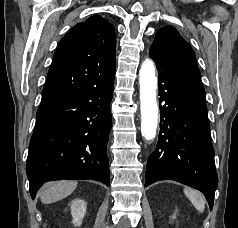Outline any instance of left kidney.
<instances>
[{"instance_id":"1","label":"left kidney","mask_w":238,"mask_h":228,"mask_svg":"<svg viewBox=\"0 0 238 228\" xmlns=\"http://www.w3.org/2000/svg\"><path fill=\"white\" fill-rule=\"evenodd\" d=\"M172 217H173V219H175V218H176V216H175V215H173Z\"/></svg>"}]
</instances>
